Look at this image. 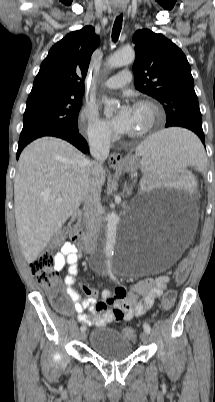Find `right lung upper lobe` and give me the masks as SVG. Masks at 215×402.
Instances as JSON below:
<instances>
[{"label":"right lung upper lobe","mask_w":215,"mask_h":402,"mask_svg":"<svg viewBox=\"0 0 215 402\" xmlns=\"http://www.w3.org/2000/svg\"><path fill=\"white\" fill-rule=\"evenodd\" d=\"M99 44L92 26L67 34L50 49L33 82L30 95H83L90 57Z\"/></svg>","instance_id":"obj_1"}]
</instances>
